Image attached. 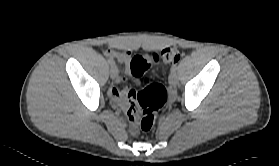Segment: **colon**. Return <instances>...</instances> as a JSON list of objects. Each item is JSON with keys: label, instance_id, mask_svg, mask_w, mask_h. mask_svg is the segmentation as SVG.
<instances>
[{"label": "colon", "instance_id": "obj_1", "mask_svg": "<svg viewBox=\"0 0 279 166\" xmlns=\"http://www.w3.org/2000/svg\"><path fill=\"white\" fill-rule=\"evenodd\" d=\"M180 52L175 47H168L160 53L149 55H136L130 62V71L133 76L140 78L145 87L139 91L138 101L139 109L142 111V117L139 123L143 132H149L155 124L157 113L167 100V92L164 86L152 84L149 82L146 72L158 61L166 64L176 63L180 60Z\"/></svg>", "mask_w": 279, "mask_h": 166}]
</instances>
